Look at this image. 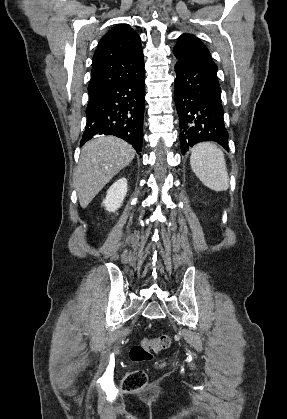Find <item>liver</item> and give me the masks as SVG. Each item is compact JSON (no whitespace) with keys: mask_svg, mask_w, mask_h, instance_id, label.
Segmentation results:
<instances>
[{"mask_svg":"<svg viewBox=\"0 0 287 419\" xmlns=\"http://www.w3.org/2000/svg\"><path fill=\"white\" fill-rule=\"evenodd\" d=\"M134 157L132 146L114 136H100L87 142L81 149L74 178L80 206L86 208Z\"/></svg>","mask_w":287,"mask_h":419,"instance_id":"liver-1","label":"liver"}]
</instances>
